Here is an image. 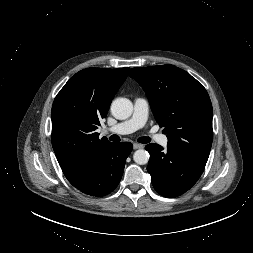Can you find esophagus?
<instances>
[{
	"label": "esophagus",
	"mask_w": 253,
	"mask_h": 253,
	"mask_svg": "<svg viewBox=\"0 0 253 253\" xmlns=\"http://www.w3.org/2000/svg\"><path fill=\"white\" fill-rule=\"evenodd\" d=\"M144 146H143V144H139V143H134L133 144V148L136 150V149H141V148H143Z\"/></svg>",
	"instance_id": "obj_1"
}]
</instances>
